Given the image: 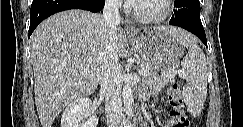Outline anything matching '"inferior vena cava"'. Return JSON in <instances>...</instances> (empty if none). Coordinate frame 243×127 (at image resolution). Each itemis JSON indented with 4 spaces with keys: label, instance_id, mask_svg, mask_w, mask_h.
<instances>
[{
    "label": "inferior vena cava",
    "instance_id": "602c4592",
    "mask_svg": "<svg viewBox=\"0 0 243 127\" xmlns=\"http://www.w3.org/2000/svg\"><path fill=\"white\" fill-rule=\"evenodd\" d=\"M120 7L121 0H106L102 15L109 27V32L104 50L99 83L106 97L105 112L109 127H118L122 113V79L118 53L113 39V34L120 24Z\"/></svg>",
    "mask_w": 243,
    "mask_h": 127
}]
</instances>
